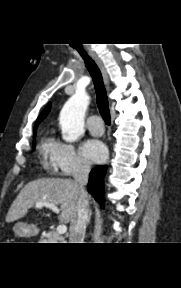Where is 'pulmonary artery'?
<instances>
[{"label": "pulmonary artery", "mask_w": 181, "mask_h": 288, "mask_svg": "<svg viewBox=\"0 0 181 288\" xmlns=\"http://www.w3.org/2000/svg\"><path fill=\"white\" fill-rule=\"evenodd\" d=\"M87 127L93 135H102L104 132L102 119L98 115H91L89 117Z\"/></svg>", "instance_id": "obj_1"}]
</instances>
